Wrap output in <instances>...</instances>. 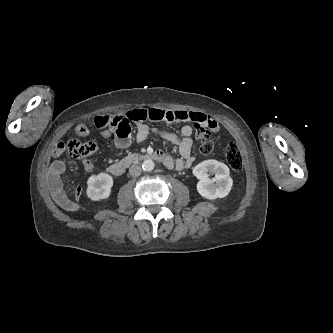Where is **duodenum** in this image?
Masks as SVG:
<instances>
[{
    "instance_id": "410a0bca",
    "label": "duodenum",
    "mask_w": 333,
    "mask_h": 333,
    "mask_svg": "<svg viewBox=\"0 0 333 333\" xmlns=\"http://www.w3.org/2000/svg\"><path fill=\"white\" fill-rule=\"evenodd\" d=\"M148 159L155 160L163 164L166 163V156L159 151L152 153H135L126 156L120 161L110 164L107 170L112 175L121 176L131 165L141 163Z\"/></svg>"
}]
</instances>
